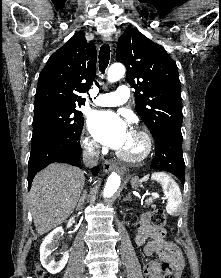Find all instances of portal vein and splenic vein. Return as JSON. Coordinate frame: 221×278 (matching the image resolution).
Wrapping results in <instances>:
<instances>
[{
    "label": "portal vein and splenic vein",
    "instance_id": "18ae733b",
    "mask_svg": "<svg viewBox=\"0 0 221 278\" xmlns=\"http://www.w3.org/2000/svg\"><path fill=\"white\" fill-rule=\"evenodd\" d=\"M151 195H152L154 198H159V195H158V194L152 193Z\"/></svg>",
    "mask_w": 221,
    "mask_h": 278
}]
</instances>
